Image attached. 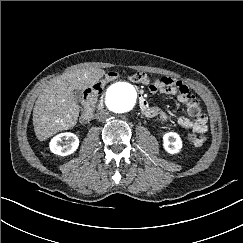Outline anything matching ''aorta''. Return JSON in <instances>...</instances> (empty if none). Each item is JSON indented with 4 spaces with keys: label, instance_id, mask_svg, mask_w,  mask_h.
<instances>
[{
    "label": "aorta",
    "instance_id": "762f6f07",
    "mask_svg": "<svg viewBox=\"0 0 243 243\" xmlns=\"http://www.w3.org/2000/svg\"><path fill=\"white\" fill-rule=\"evenodd\" d=\"M104 102L114 113H126L135 105L136 91L129 83H114L107 89Z\"/></svg>",
    "mask_w": 243,
    "mask_h": 243
}]
</instances>
